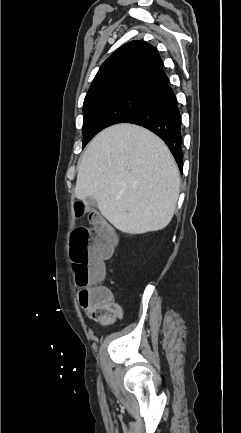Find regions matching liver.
I'll list each match as a JSON object with an SVG mask.
<instances>
[{
  "instance_id": "obj_1",
  "label": "liver",
  "mask_w": 241,
  "mask_h": 433,
  "mask_svg": "<svg viewBox=\"0 0 241 433\" xmlns=\"http://www.w3.org/2000/svg\"><path fill=\"white\" fill-rule=\"evenodd\" d=\"M179 191V170L168 147L138 125L104 129L79 161L76 198L85 202L93 197L101 214L124 233L165 228Z\"/></svg>"
}]
</instances>
